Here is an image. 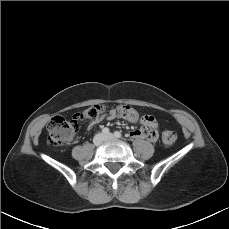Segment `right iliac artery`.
Wrapping results in <instances>:
<instances>
[{
	"mask_svg": "<svg viewBox=\"0 0 229 229\" xmlns=\"http://www.w3.org/2000/svg\"><path fill=\"white\" fill-rule=\"evenodd\" d=\"M102 132H103V134L108 135L110 131L108 128L105 127L102 129Z\"/></svg>",
	"mask_w": 229,
	"mask_h": 229,
	"instance_id": "obj_1",
	"label": "right iliac artery"
}]
</instances>
